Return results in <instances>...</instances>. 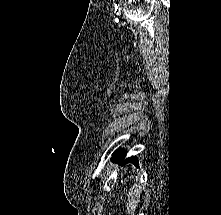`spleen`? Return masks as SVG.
<instances>
[{
    "label": "spleen",
    "instance_id": "1",
    "mask_svg": "<svg viewBox=\"0 0 221 215\" xmlns=\"http://www.w3.org/2000/svg\"><path fill=\"white\" fill-rule=\"evenodd\" d=\"M139 197H140V184L134 183L128 194L127 209L129 212H133L136 209L137 204L139 202Z\"/></svg>",
    "mask_w": 221,
    "mask_h": 215
}]
</instances>
